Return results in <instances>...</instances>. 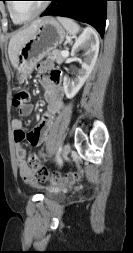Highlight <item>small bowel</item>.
Wrapping results in <instances>:
<instances>
[{"mask_svg":"<svg viewBox=\"0 0 133 253\" xmlns=\"http://www.w3.org/2000/svg\"><path fill=\"white\" fill-rule=\"evenodd\" d=\"M37 71L41 76V81L44 87V98L47 103L46 112L38 125L27 135L23 129L21 119L15 118L11 121L19 173L23 180L29 184L36 183L37 179L31 165L27 161V153L25 148L22 146V141L27 138L28 142L32 146L41 145L52 127L53 116L59 113L64 106L60 72L53 69L49 63L39 64L37 66ZM32 111L33 105L28 103L19 109V114L22 117H26L29 116ZM39 157L43 160H48L50 158V156L43 151L39 152Z\"/></svg>","mask_w":133,"mask_h":253,"instance_id":"1","label":"small bowel"}]
</instances>
